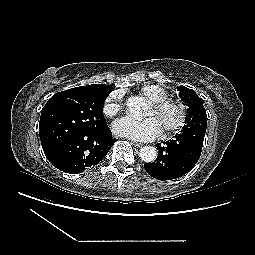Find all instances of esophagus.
Listing matches in <instances>:
<instances>
[{
    "label": "esophagus",
    "instance_id": "obj_1",
    "mask_svg": "<svg viewBox=\"0 0 255 255\" xmlns=\"http://www.w3.org/2000/svg\"><path fill=\"white\" fill-rule=\"evenodd\" d=\"M132 145H134L135 147L139 148V147H142L143 144L142 143H139V142H135V141H132L131 142Z\"/></svg>",
    "mask_w": 255,
    "mask_h": 255
}]
</instances>
